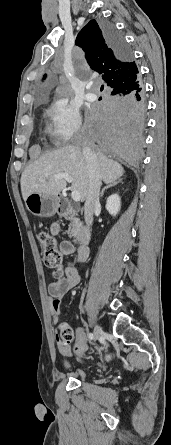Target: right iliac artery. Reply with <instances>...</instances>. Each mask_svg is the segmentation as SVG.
I'll return each instance as SVG.
<instances>
[{
    "label": "right iliac artery",
    "instance_id": "82829eb1",
    "mask_svg": "<svg viewBox=\"0 0 171 445\" xmlns=\"http://www.w3.org/2000/svg\"><path fill=\"white\" fill-rule=\"evenodd\" d=\"M88 337H89L90 340H92L94 338V335L92 333H89Z\"/></svg>",
    "mask_w": 171,
    "mask_h": 445
}]
</instances>
